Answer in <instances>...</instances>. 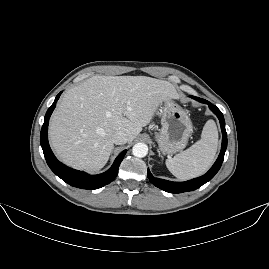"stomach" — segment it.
I'll use <instances>...</instances> for the list:
<instances>
[{
	"instance_id": "stomach-1",
	"label": "stomach",
	"mask_w": 269,
	"mask_h": 269,
	"mask_svg": "<svg viewBox=\"0 0 269 269\" xmlns=\"http://www.w3.org/2000/svg\"><path fill=\"white\" fill-rule=\"evenodd\" d=\"M160 108L162 128L154 134V139L164 155L180 152L192 133L191 120L181 107L171 101L161 103Z\"/></svg>"
}]
</instances>
